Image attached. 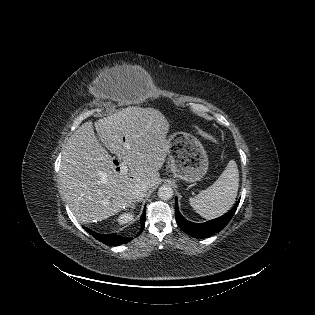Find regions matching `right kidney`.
Listing matches in <instances>:
<instances>
[{
  "instance_id": "right-kidney-1",
  "label": "right kidney",
  "mask_w": 315,
  "mask_h": 315,
  "mask_svg": "<svg viewBox=\"0 0 315 315\" xmlns=\"http://www.w3.org/2000/svg\"><path fill=\"white\" fill-rule=\"evenodd\" d=\"M134 217V214L132 213H123L121 214L118 219H117V222L122 225V224H125V223H128L129 221H131Z\"/></svg>"
}]
</instances>
